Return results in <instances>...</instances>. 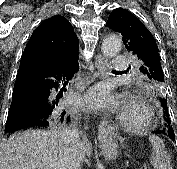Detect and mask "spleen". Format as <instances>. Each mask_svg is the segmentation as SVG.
<instances>
[{"instance_id": "spleen-1", "label": "spleen", "mask_w": 177, "mask_h": 169, "mask_svg": "<svg viewBox=\"0 0 177 169\" xmlns=\"http://www.w3.org/2000/svg\"><path fill=\"white\" fill-rule=\"evenodd\" d=\"M153 152L151 155V164L154 169H173L170 164V157L167 154L165 144L158 136H149Z\"/></svg>"}]
</instances>
